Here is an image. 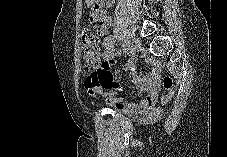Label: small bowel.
Returning a JSON list of instances; mask_svg holds the SVG:
<instances>
[{"label":"small bowel","mask_w":227,"mask_h":157,"mask_svg":"<svg viewBox=\"0 0 227 157\" xmlns=\"http://www.w3.org/2000/svg\"><path fill=\"white\" fill-rule=\"evenodd\" d=\"M101 68L102 78L94 83H86L88 92L92 96L103 97L106 102L119 110L126 112H135L139 109L151 108L157 99L160 87L159 69L155 66L150 75L145 76L137 71L134 60L128 61L125 65L126 71L131 76L132 82L141 89L148 91L146 97L139 103H130L118 97L121 92V86L113 80L111 67L115 64V48L112 37H105L102 43L101 51Z\"/></svg>","instance_id":"obj_1"}]
</instances>
